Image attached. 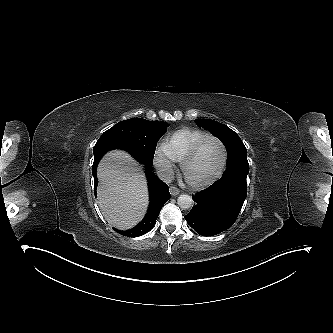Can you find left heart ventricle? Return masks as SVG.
<instances>
[{"mask_svg":"<svg viewBox=\"0 0 333 333\" xmlns=\"http://www.w3.org/2000/svg\"><path fill=\"white\" fill-rule=\"evenodd\" d=\"M222 161V148L215 140L205 142L196 157L187 165L186 174L192 181L211 178L219 169Z\"/></svg>","mask_w":333,"mask_h":333,"instance_id":"1","label":"left heart ventricle"}]
</instances>
